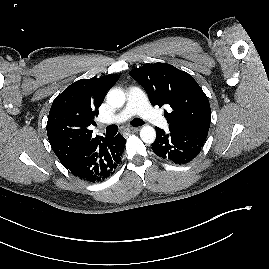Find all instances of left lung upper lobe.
Listing matches in <instances>:
<instances>
[{"mask_svg": "<svg viewBox=\"0 0 269 269\" xmlns=\"http://www.w3.org/2000/svg\"><path fill=\"white\" fill-rule=\"evenodd\" d=\"M129 74L143 86L154 106L171 107V113L165 111L170 131L208 132L209 101L190 74L166 63L145 64Z\"/></svg>", "mask_w": 269, "mask_h": 269, "instance_id": "obj_1", "label": "left lung upper lobe"}]
</instances>
